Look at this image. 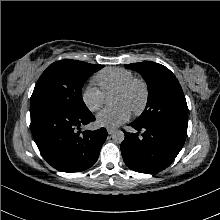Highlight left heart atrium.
<instances>
[{
    "label": "left heart atrium",
    "instance_id": "1",
    "mask_svg": "<svg viewBox=\"0 0 220 220\" xmlns=\"http://www.w3.org/2000/svg\"><path fill=\"white\" fill-rule=\"evenodd\" d=\"M130 116L131 110L127 106L118 105L101 111L96 117V122L99 126L115 128L126 122Z\"/></svg>",
    "mask_w": 220,
    "mask_h": 220
}]
</instances>
